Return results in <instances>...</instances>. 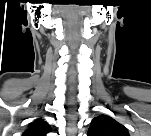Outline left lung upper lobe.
Instances as JSON below:
<instances>
[{
	"label": "left lung upper lobe",
	"instance_id": "obj_1",
	"mask_svg": "<svg viewBox=\"0 0 151 136\" xmlns=\"http://www.w3.org/2000/svg\"><path fill=\"white\" fill-rule=\"evenodd\" d=\"M88 136H129L125 126L107 115H99L91 122Z\"/></svg>",
	"mask_w": 151,
	"mask_h": 136
}]
</instances>
